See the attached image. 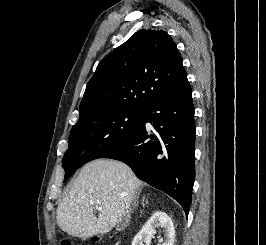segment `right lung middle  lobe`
<instances>
[{
  "mask_svg": "<svg viewBox=\"0 0 266 245\" xmlns=\"http://www.w3.org/2000/svg\"><path fill=\"white\" fill-rule=\"evenodd\" d=\"M145 109L108 108L79 118L62 160L64 182L85 163L124 144L138 128Z\"/></svg>",
  "mask_w": 266,
  "mask_h": 245,
  "instance_id": "right-lung-middle-lobe-1",
  "label": "right lung middle lobe"
}]
</instances>
